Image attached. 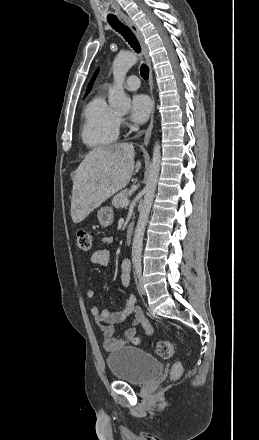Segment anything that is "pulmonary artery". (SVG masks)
Listing matches in <instances>:
<instances>
[{"label":"pulmonary artery","mask_w":259,"mask_h":440,"mask_svg":"<svg viewBox=\"0 0 259 440\" xmlns=\"http://www.w3.org/2000/svg\"><path fill=\"white\" fill-rule=\"evenodd\" d=\"M124 85L128 90H136L140 86V80L137 76L131 75L126 79ZM105 86H108V84H106Z\"/></svg>","instance_id":"1"}]
</instances>
